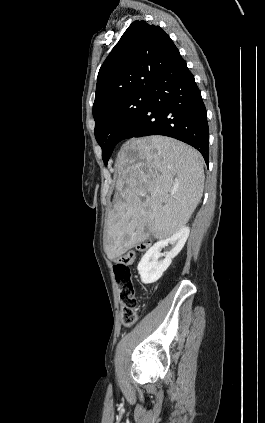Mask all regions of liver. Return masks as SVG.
<instances>
[{
    "mask_svg": "<svg viewBox=\"0 0 265 423\" xmlns=\"http://www.w3.org/2000/svg\"><path fill=\"white\" fill-rule=\"evenodd\" d=\"M204 159L165 136L132 138L117 155V195L108 214L104 250L110 260L152 234L165 239L185 227L204 189Z\"/></svg>",
    "mask_w": 265,
    "mask_h": 423,
    "instance_id": "1",
    "label": "liver"
}]
</instances>
